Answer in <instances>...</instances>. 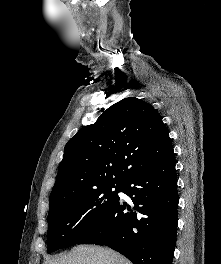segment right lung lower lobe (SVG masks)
Returning a JSON list of instances; mask_svg holds the SVG:
<instances>
[{"mask_svg": "<svg viewBox=\"0 0 221 264\" xmlns=\"http://www.w3.org/2000/svg\"><path fill=\"white\" fill-rule=\"evenodd\" d=\"M132 203L118 201L80 243L106 245L133 264H172L178 224L174 154L122 182Z\"/></svg>", "mask_w": 221, "mask_h": 264, "instance_id": "1", "label": "right lung lower lobe"}]
</instances>
